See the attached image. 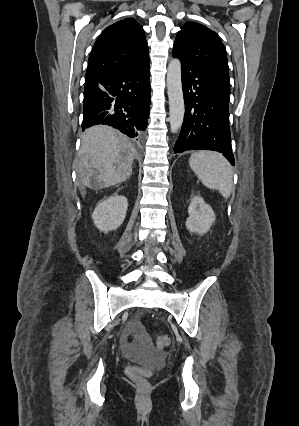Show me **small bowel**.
<instances>
[{
  "label": "small bowel",
  "mask_w": 299,
  "mask_h": 426,
  "mask_svg": "<svg viewBox=\"0 0 299 426\" xmlns=\"http://www.w3.org/2000/svg\"><path fill=\"white\" fill-rule=\"evenodd\" d=\"M134 327H135V325H134ZM127 346H128V349L131 350V347H130L129 343H127Z\"/></svg>",
  "instance_id": "obj_1"
}]
</instances>
